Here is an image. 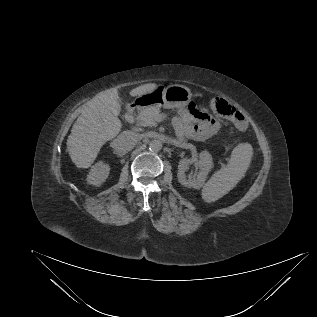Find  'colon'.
<instances>
[{"mask_svg":"<svg viewBox=\"0 0 317 317\" xmlns=\"http://www.w3.org/2000/svg\"><path fill=\"white\" fill-rule=\"evenodd\" d=\"M210 106L215 114L231 120L238 129H246L247 121L243 114L229 105L224 99L218 97L212 98L210 100Z\"/></svg>","mask_w":317,"mask_h":317,"instance_id":"1","label":"colon"}]
</instances>
